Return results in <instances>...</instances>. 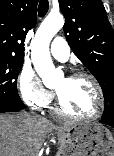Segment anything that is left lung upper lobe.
<instances>
[{
    "label": "left lung upper lobe",
    "mask_w": 114,
    "mask_h": 156,
    "mask_svg": "<svg viewBox=\"0 0 114 156\" xmlns=\"http://www.w3.org/2000/svg\"><path fill=\"white\" fill-rule=\"evenodd\" d=\"M70 48L102 87V120L114 121V31L101 0H59Z\"/></svg>",
    "instance_id": "5c2ea615"
}]
</instances>
